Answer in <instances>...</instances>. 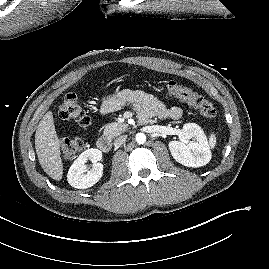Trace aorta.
I'll use <instances>...</instances> for the list:
<instances>
[{
    "mask_svg": "<svg viewBox=\"0 0 269 269\" xmlns=\"http://www.w3.org/2000/svg\"><path fill=\"white\" fill-rule=\"evenodd\" d=\"M146 141V135L144 133H137L136 134V142L139 144H143Z\"/></svg>",
    "mask_w": 269,
    "mask_h": 269,
    "instance_id": "aorta-1",
    "label": "aorta"
}]
</instances>
